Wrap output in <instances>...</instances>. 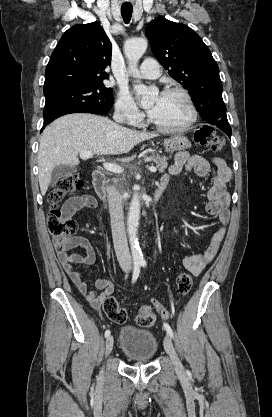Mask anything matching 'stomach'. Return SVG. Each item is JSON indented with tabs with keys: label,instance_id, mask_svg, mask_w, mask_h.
<instances>
[{
	"label": "stomach",
	"instance_id": "0dacf381",
	"mask_svg": "<svg viewBox=\"0 0 272 417\" xmlns=\"http://www.w3.org/2000/svg\"><path fill=\"white\" fill-rule=\"evenodd\" d=\"M163 145L169 152L181 151L190 147L189 140L180 134L172 135L164 140Z\"/></svg>",
	"mask_w": 272,
	"mask_h": 417
}]
</instances>
